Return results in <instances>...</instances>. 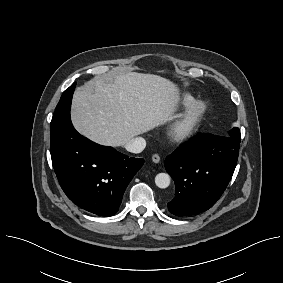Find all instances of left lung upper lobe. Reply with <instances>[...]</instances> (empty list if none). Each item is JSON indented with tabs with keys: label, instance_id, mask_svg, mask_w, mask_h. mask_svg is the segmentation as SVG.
Masks as SVG:
<instances>
[{
	"label": "left lung upper lobe",
	"instance_id": "5c2ea615",
	"mask_svg": "<svg viewBox=\"0 0 283 283\" xmlns=\"http://www.w3.org/2000/svg\"><path fill=\"white\" fill-rule=\"evenodd\" d=\"M229 136L238 140H241L239 128H233L229 131Z\"/></svg>",
	"mask_w": 283,
	"mask_h": 283
}]
</instances>
